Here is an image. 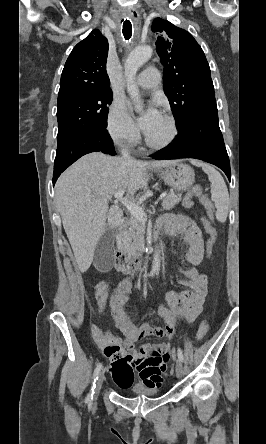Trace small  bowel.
I'll list each match as a JSON object with an SVG mask.
<instances>
[{
    "label": "small bowel",
    "mask_w": 266,
    "mask_h": 444,
    "mask_svg": "<svg viewBox=\"0 0 266 444\" xmlns=\"http://www.w3.org/2000/svg\"><path fill=\"white\" fill-rule=\"evenodd\" d=\"M162 231L172 237H180L187 244L185 261L189 264L188 267L179 264L175 267L186 277L179 280L184 290L168 293V306H160L157 309V316L163 320L165 326L155 327L149 323L140 325L134 323L132 316L125 310L131 293L129 283L118 302L110 306L114 324L125 336V340L122 341L102 331L97 324L91 326L92 338L110 359L112 379L120 388H129L133 384L135 373L141 379L142 386L147 388L161 386L166 362L174 356V351L168 342L144 345L139 350L135 349V344L147 336L169 341L176 332L179 320L190 323L199 316L207 293V276L200 273L197 268L203 265L204 259L203 240L197 225L187 216L170 214L163 219ZM108 291L109 287L105 282L99 283L96 287L95 302L99 313L105 309Z\"/></svg>",
    "instance_id": "obj_1"
}]
</instances>
